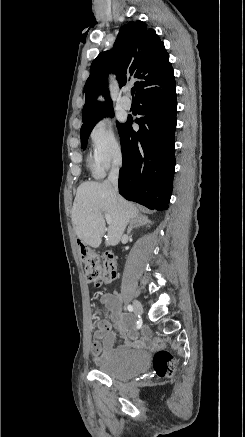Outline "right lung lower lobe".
Wrapping results in <instances>:
<instances>
[{
	"mask_svg": "<svg viewBox=\"0 0 245 437\" xmlns=\"http://www.w3.org/2000/svg\"><path fill=\"white\" fill-rule=\"evenodd\" d=\"M136 102L142 115L136 120L138 132L133 131L129 118L119 131L122 150L119 193L149 209L167 210L175 168V82L141 94Z\"/></svg>",
	"mask_w": 245,
	"mask_h": 437,
	"instance_id": "obj_1",
	"label": "right lung lower lobe"
}]
</instances>
